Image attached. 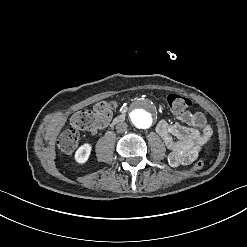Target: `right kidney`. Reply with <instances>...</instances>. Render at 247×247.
<instances>
[{"label":"right kidney","mask_w":247,"mask_h":247,"mask_svg":"<svg viewBox=\"0 0 247 247\" xmlns=\"http://www.w3.org/2000/svg\"><path fill=\"white\" fill-rule=\"evenodd\" d=\"M92 145L90 143L82 144L75 152L74 160L76 163L83 165L85 164L91 154Z\"/></svg>","instance_id":"obj_1"}]
</instances>
